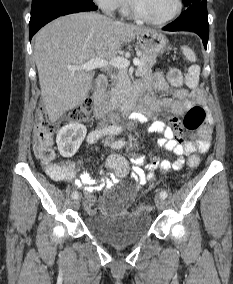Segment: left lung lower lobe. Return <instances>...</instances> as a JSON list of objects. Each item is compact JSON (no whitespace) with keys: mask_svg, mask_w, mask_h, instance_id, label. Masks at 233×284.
Here are the masks:
<instances>
[{"mask_svg":"<svg viewBox=\"0 0 233 284\" xmlns=\"http://www.w3.org/2000/svg\"><path fill=\"white\" fill-rule=\"evenodd\" d=\"M165 31H191L197 33L207 48L209 24L206 0L195 3L175 21L163 28Z\"/></svg>","mask_w":233,"mask_h":284,"instance_id":"0a47b994","label":"left lung lower lobe"}]
</instances>
